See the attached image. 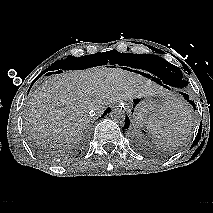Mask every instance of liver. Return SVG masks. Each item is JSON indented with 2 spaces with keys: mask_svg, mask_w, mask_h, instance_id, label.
<instances>
[{
  "mask_svg": "<svg viewBox=\"0 0 213 213\" xmlns=\"http://www.w3.org/2000/svg\"><path fill=\"white\" fill-rule=\"evenodd\" d=\"M168 94L140 74L120 68L95 67L44 80L31 93L25 116L38 144L65 150L80 141L91 120V112L101 114L113 103Z\"/></svg>",
  "mask_w": 213,
  "mask_h": 213,
  "instance_id": "liver-1",
  "label": "liver"
}]
</instances>
